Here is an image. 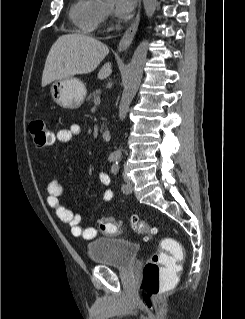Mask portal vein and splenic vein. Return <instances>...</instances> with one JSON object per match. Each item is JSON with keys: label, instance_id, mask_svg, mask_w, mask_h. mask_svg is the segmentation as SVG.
I'll list each match as a JSON object with an SVG mask.
<instances>
[{"label": "portal vein and splenic vein", "instance_id": "18ae733b", "mask_svg": "<svg viewBox=\"0 0 245 319\" xmlns=\"http://www.w3.org/2000/svg\"><path fill=\"white\" fill-rule=\"evenodd\" d=\"M100 103H101L100 97H97V98L94 99V105H95V106L100 105Z\"/></svg>", "mask_w": 245, "mask_h": 319}]
</instances>
